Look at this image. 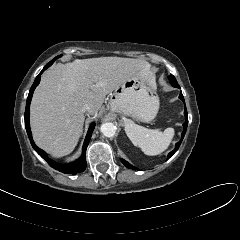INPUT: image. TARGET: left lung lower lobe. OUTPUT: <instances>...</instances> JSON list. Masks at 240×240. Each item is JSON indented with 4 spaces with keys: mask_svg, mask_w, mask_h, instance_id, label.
I'll return each mask as SVG.
<instances>
[{
    "mask_svg": "<svg viewBox=\"0 0 240 240\" xmlns=\"http://www.w3.org/2000/svg\"><path fill=\"white\" fill-rule=\"evenodd\" d=\"M168 78L170 79V83L172 84V86H174V87H176V88H180V86L178 85V83H177V81H176V79H175V77H174L173 75H170ZM179 98H180L183 102H185V101H184V97H183V95H182V92H180ZM184 114H185V117H186V121H185V123L183 124V126H184V131H183L182 134H181L182 138H181V140H180L178 143H176L175 149L168 154V158H170V157L178 150V148H179V146H180V144H181V142H182V140H183V138H184V135H185V133H186V129H187V125H188V114H187L186 107H185ZM121 161H122V163H123L127 168L137 170V168L133 167L131 164H129V163H128L127 161H125L124 159H122Z\"/></svg>",
    "mask_w": 240,
    "mask_h": 240,
    "instance_id": "0a47b994",
    "label": "left lung lower lobe"
}]
</instances>
